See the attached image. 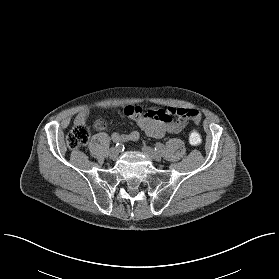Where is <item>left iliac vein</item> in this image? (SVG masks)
<instances>
[{"instance_id":"1","label":"left iliac vein","mask_w":279,"mask_h":279,"mask_svg":"<svg viewBox=\"0 0 279 279\" xmlns=\"http://www.w3.org/2000/svg\"><path fill=\"white\" fill-rule=\"evenodd\" d=\"M142 151L145 155H147L148 157H150L154 161H160L161 160V157H162L161 154L156 152L151 147L143 146Z\"/></svg>"}]
</instances>
